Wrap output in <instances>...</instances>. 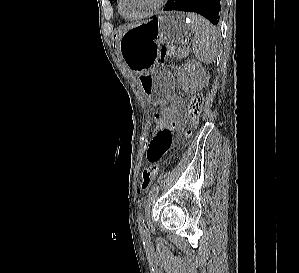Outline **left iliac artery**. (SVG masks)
I'll list each match as a JSON object with an SVG mask.
<instances>
[{
    "instance_id": "left-iliac-artery-1",
    "label": "left iliac artery",
    "mask_w": 299,
    "mask_h": 273,
    "mask_svg": "<svg viewBox=\"0 0 299 273\" xmlns=\"http://www.w3.org/2000/svg\"><path fill=\"white\" fill-rule=\"evenodd\" d=\"M138 225H139V230L141 234H146L147 229H146V225L144 223V218H143V214L139 213L138 215Z\"/></svg>"
}]
</instances>
